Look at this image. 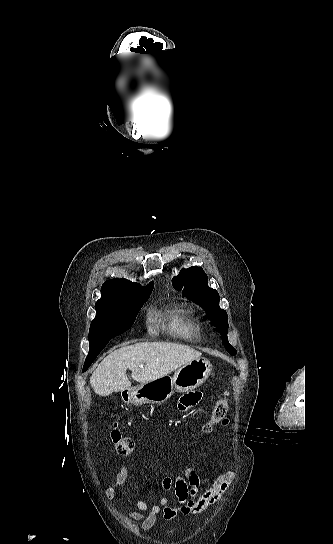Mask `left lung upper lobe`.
I'll list each match as a JSON object with an SVG mask.
<instances>
[{"mask_svg":"<svg viewBox=\"0 0 333 544\" xmlns=\"http://www.w3.org/2000/svg\"><path fill=\"white\" fill-rule=\"evenodd\" d=\"M208 278L202 268L193 266L188 269H182L180 274L172 279L174 288L178 291L183 290V297L195 301L208 311V318H212V324L221 334L223 344L226 350L235 355L236 350L229 344L227 338L228 320L225 310L219 307V294L215 289L208 287Z\"/></svg>","mask_w":333,"mask_h":544,"instance_id":"left-lung-upper-lobe-1","label":"left lung upper lobe"}]
</instances>
